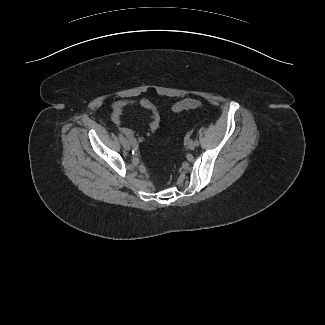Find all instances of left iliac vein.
Listing matches in <instances>:
<instances>
[{
    "label": "left iliac vein",
    "instance_id": "4c4485c4",
    "mask_svg": "<svg viewBox=\"0 0 325 325\" xmlns=\"http://www.w3.org/2000/svg\"><path fill=\"white\" fill-rule=\"evenodd\" d=\"M187 146L190 150H194L196 147L195 142L193 140H189Z\"/></svg>",
    "mask_w": 325,
    "mask_h": 325
}]
</instances>
